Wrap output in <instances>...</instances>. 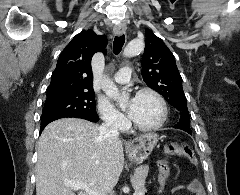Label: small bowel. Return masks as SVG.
<instances>
[{
  "label": "small bowel",
  "instance_id": "obj_1",
  "mask_svg": "<svg viewBox=\"0 0 240 195\" xmlns=\"http://www.w3.org/2000/svg\"><path fill=\"white\" fill-rule=\"evenodd\" d=\"M183 188H186V186H176V187H174L171 191H172V193L174 194V193H176V192H179L181 189H183Z\"/></svg>",
  "mask_w": 240,
  "mask_h": 195
}]
</instances>
